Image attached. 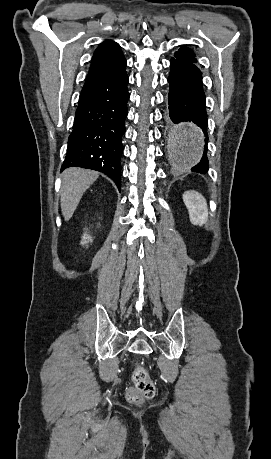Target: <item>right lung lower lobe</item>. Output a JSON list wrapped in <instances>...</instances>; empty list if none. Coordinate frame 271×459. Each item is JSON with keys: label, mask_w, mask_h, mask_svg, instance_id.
I'll list each match as a JSON object with an SVG mask.
<instances>
[{"label": "right lung lower lobe", "mask_w": 271, "mask_h": 459, "mask_svg": "<svg viewBox=\"0 0 271 459\" xmlns=\"http://www.w3.org/2000/svg\"><path fill=\"white\" fill-rule=\"evenodd\" d=\"M127 84L124 71L83 87L61 170L77 166L103 172L120 190Z\"/></svg>", "instance_id": "98d812e1"}]
</instances>
